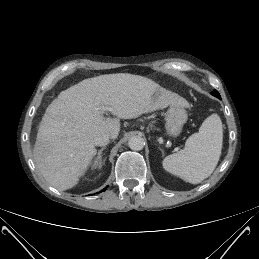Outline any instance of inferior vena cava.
I'll use <instances>...</instances> for the list:
<instances>
[{
    "instance_id": "obj_1",
    "label": "inferior vena cava",
    "mask_w": 259,
    "mask_h": 259,
    "mask_svg": "<svg viewBox=\"0 0 259 259\" xmlns=\"http://www.w3.org/2000/svg\"><path fill=\"white\" fill-rule=\"evenodd\" d=\"M109 140L110 134L108 132H102L94 138V144L96 146H106L109 143Z\"/></svg>"
}]
</instances>
